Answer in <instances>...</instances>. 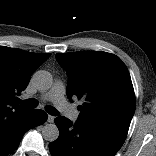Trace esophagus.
I'll return each instance as SVG.
<instances>
[{"label":"esophagus","instance_id":"esophagus-1","mask_svg":"<svg viewBox=\"0 0 156 156\" xmlns=\"http://www.w3.org/2000/svg\"><path fill=\"white\" fill-rule=\"evenodd\" d=\"M54 119H55L54 116L48 115L47 122H49V123H53V122H54Z\"/></svg>","mask_w":156,"mask_h":156}]
</instances>
